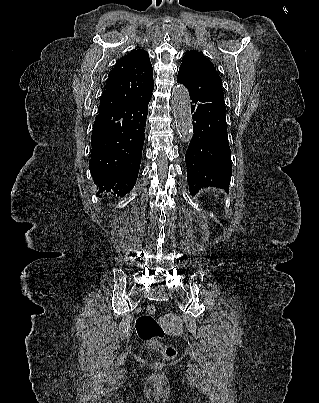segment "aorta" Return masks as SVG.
Here are the masks:
<instances>
[{
  "label": "aorta",
  "instance_id": "obj_1",
  "mask_svg": "<svg viewBox=\"0 0 319 403\" xmlns=\"http://www.w3.org/2000/svg\"><path fill=\"white\" fill-rule=\"evenodd\" d=\"M172 107L179 138L189 142L193 137V124L189 92L183 85L172 89Z\"/></svg>",
  "mask_w": 319,
  "mask_h": 403
}]
</instances>
